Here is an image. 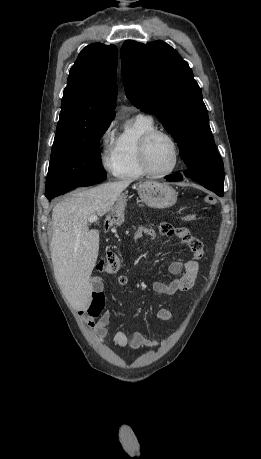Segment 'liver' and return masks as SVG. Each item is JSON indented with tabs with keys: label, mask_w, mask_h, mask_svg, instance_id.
Wrapping results in <instances>:
<instances>
[{
	"label": "liver",
	"mask_w": 261,
	"mask_h": 459,
	"mask_svg": "<svg viewBox=\"0 0 261 459\" xmlns=\"http://www.w3.org/2000/svg\"><path fill=\"white\" fill-rule=\"evenodd\" d=\"M129 184L123 180L76 190L53 208L54 272L63 295L76 310H86L91 303L90 277L99 252V232L89 231L88 218L109 212Z\"/></svg>",
	"instance_id": "1"
}]
</instances>
